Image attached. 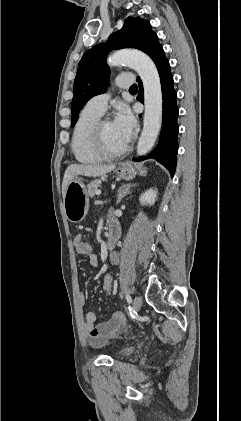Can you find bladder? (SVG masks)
Returning <instances> with one entry per match:
<instances>
[{"instance_id":"obj_1","label":"bladder","mask_w":241,"mask_h":421,"mask_svg":"<svg viewBox=\"0 0 241 421\" xmlns=\"http://www.w3.org/2000/svg\"><path fill=\"white\" fill-rule=\"evenodd\" d=\"M135 349H136L135 346H126V347H124V348H122L121 350L118 351L117 357H119V358L127 357L130 354H132L135 351Z\"/></svg>"}]
</instances>
